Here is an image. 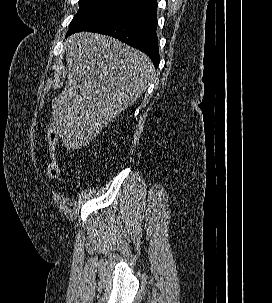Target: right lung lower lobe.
Segmentation results:
<instances>
[{"instance_id":"right-lung-lower-lobe-1","label":"right lung lower lobe","mask_w":272,"mask_h":303,"mask_svg":"<svg viewBox=\"0 0 272 303\" xmlns=\"http://www.w3.org/2000/svg\"><path fill=\"white\" fill-rule=\"evenodd\" d=\"M156 12L157 4L86 31L112 36L141 50L150 57L157 68L160 57L156 35Z\"/></svg>"}]
</instances>
